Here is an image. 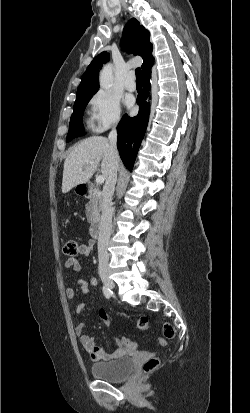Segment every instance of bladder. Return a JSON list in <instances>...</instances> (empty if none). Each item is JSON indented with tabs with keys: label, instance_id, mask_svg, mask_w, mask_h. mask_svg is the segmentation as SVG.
Instances as JSON below:
<instances>
[{
	"label": "bladder",
	"instance_id": "31cf9c89",
	"mask_svg": "<svg viewBox=\"0 0 250 413\" xmlns=\"http://www.w3.org/2000/svg\"><path fill=\"white\" fill-rule=\"evenodd\" d=\"M133 367L134 359L129 355H121L110 361L92 364L91 373L97 379L117 382L125 379Z\"/></svg>",
	"mask_w": 250,
	"mask_h": 413
}]
</instances>
